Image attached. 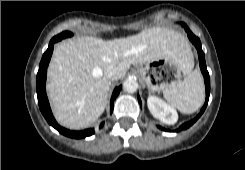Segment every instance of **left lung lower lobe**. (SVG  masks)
<instances>
[{
    "label": "left lung lower lobe",
    "instance_id": "1",
    "mask_svg": "<svg viewBox=\"0 0 245 170\" xmlns=\"http://www.w3.org/2000/svg\"><path fill=\"white\" fill-rule=\"evenodd\" d=\"M188 34V37L190 39V41L195 45L197 51H198V56H199V63H200V68H201V71H202V74L204 76V82H205V87H206V102L201 110V112L197 115L196 118H194L193 120L187 122V123H184L183 125H181L179 127V129H177L176 131H181V130H184V129H187L189 128L192 124L195 123V121L202 115V113L204 112L207 104H208V100H209V95H210V78H209V73L207 71V68H206V63H205V56H204V52L202 51V48H201V42L199 40L198 37H196L191 31L190 29L185 25V24H182ZM138 101L141 103V100H140V97L138 96ZM160 129L162 130H165L163 129L162 127L158 126Z\"/></svg>",
    "mask_w": 245,
    "mask_h": 170
}]
</instances>
